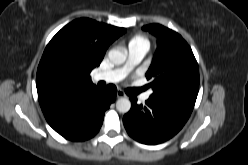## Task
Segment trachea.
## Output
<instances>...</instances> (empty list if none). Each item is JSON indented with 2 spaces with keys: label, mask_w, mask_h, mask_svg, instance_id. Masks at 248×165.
Returning <instances> with one entry per match:
<instances>
[{
  "label": "trachea",
  "mask_w": 248,
  "mask_h": 165,
  "mask_svg": "<svg viewBox=\"0 0 248 165\" xmlns=\"http://www.w3.org/2000/svg\"><path fill=\"white\" fill-rule=\"evenodd\" d=\"M141 91H142V89H129V90H127V93L131 94V95H135V94H138Z\"/></svg>",
  "instance_id": "1"
}]
</instances>
